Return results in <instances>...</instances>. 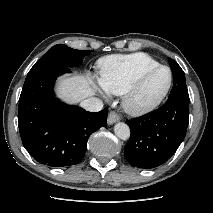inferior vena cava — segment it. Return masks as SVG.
<instances>
[{
  "instance_id": "obj_1",
  "label": "inferior vena cava",
  "mask_w": 213,
  "mask_h": 213,
  "mask_svg": "<svg viewBox=\"0 0 213 213\" xmlns=\"http://www.w3.org/2000/svg\"><path fill=\"white\" fill-rule=\"evenodd\" d=\"M80 106L87 111L98 112L102 110L103 103L100 99L91 97L81 101Z\"/></svg>"
}]
</instances>
